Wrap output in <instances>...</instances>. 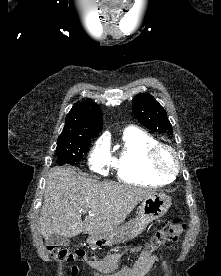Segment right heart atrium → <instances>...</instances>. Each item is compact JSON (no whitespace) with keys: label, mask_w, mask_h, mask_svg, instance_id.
Masks as SVG:
<instances>
[{"label":"right heart atrium","mask_w":221,"mask_h":276,"mask_svg":"<svg viewBox=\"0 0 221 276\" xmlns=\"http://www.w3.org/2000/svg\"><path fill=\"white\" fill-rule=\"evenodd\" d=\"M90 167L100 173L112 162L111 153L108 144L105 141H99L93 147L89 155Z\"/></svg>","instance_id":"right-heart-atrium-1"}]
</instances>
